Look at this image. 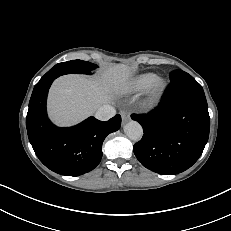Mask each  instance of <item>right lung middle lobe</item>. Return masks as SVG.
<instances>
[{
	"label": "right lung middle lobe",
	"instance_id": "obj_1",
	"mask_svg": "<svg viewBox=\"0 0 231 231\" xmlns=\"http://www.w3.org/2000/svg\"><path fill=\"white\" fill-rule=\"evenodd\" d=\"M98 66L82 60H72L68 62L58 63L52 69H50L40 81H44L51 77H58L60 75L69 73H83L90 74L92 70L96 69Z\"/></svg>",
	"mask_w": 231,
	"mask_h": 231
}]
</instances>
